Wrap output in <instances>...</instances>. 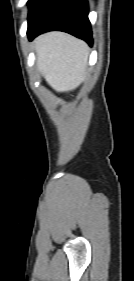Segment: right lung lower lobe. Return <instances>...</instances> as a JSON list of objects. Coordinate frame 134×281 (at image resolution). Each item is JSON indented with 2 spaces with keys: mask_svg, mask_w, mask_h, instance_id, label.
<instances>
[{
  "mask_svg": "<svg viewBox=\"0 0 134 281\" xmlns=\"http://www.w3.org/2000/svg\"><path fill=\"white\" fill-rule=\"evenodd\" d=\"M64 31L92 46L87 0H38L28 16V37L52 31Z\"/></svg>",
  "mask_w": 134,
  "mask_h": 281,
  "instance_id": "right-lung-lower-lobe-1",
  "label": "right lung lower lobe"
}]
</instances>
